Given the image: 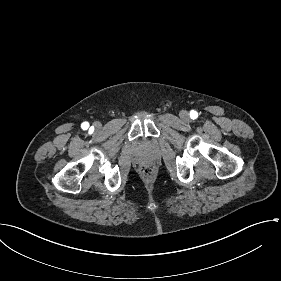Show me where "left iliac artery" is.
I'll list each match as a JSON object with an SVG mask.
<instances>
[{"label": "left iliac artery", "mask_w": 281, "mask_h": 281, "mask_svg": "<svg viewBox=\"0 0 281 281\" xmlns=\"http://www.w3.org/2000/svg\"><path fill=\"white\" fill-rule=\"evenodd\" d=\"M190 117H191L192 119H196V118L198 117V113H197L196 111L192 110V111L190 112Z\"/></svg>", "instance_id": "obj_1"}]
</instances>
